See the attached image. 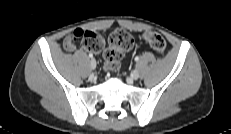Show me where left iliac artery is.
I'll return each mask as SVG.
<instances>
[{"instance_id": "1", "label": "left iliac artery", "mask_w": 231, "mask_h": 134, "mask_svg": "<svg viewBox=\"0 0 231 134\" xmlns=\"http://www.w3.org/2000/svg\"><path fill=\"white\" fill-rule=\"evenodd\" d=\"M139 60V57L137 56V57H135V61H138Z\"/></svg>"}]
</instances>
